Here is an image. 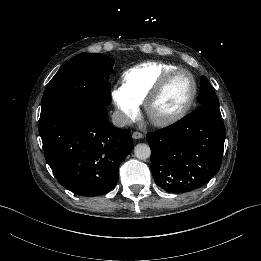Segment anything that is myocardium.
<instances>
[{
    "mask_svg": "<svg viewBox=\"0 0 261 261\" xmlns=\"http://www.w3.org/2000/svg\"><path fill=\"white\" fill-rule=\"evenodd\" d=\"M179 73L186 74L191 81L192 93H191L190 98L188 99L186 104L175 114L165 116V117L155 116L153 113V109H154L155 105L163 96L164 92L168 88L173 77ZM197 91H198V88H197V83L195 81V78L192 75V73L189 72L188 70H185L182 68H174L173 70L167 72L162 77L160 82L156 85V87L153 89V91L150 93V95L148 96V98L145 101V113H146L148 120L150 121V123L152 125L157 126V127L169 126V125L181 120L183 117L186 116V114L191 109V107L196 99Z\"/></svg>",
    "mask_w": 261,
    "mask_h": 261,
    "instance_id": "f54148a6",
    "label": "myocardium"
}]
</instances>
